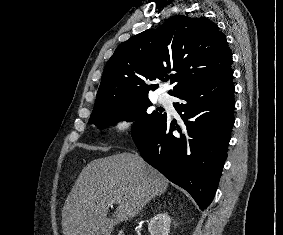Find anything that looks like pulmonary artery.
<instances>
[{
	"label": "pulmonary artery",
	"mask_w": 283,
	"mask_h": 235,
	"mask_svg": "<svg viewBox=\"0 0 283 235\" xmlns=\"http://www.w3.org/2000/svg\"><path fill=\"white\" fill-rule=\"evenodd\" d=\"M161 101L168 104L171 102V97L168 94L164 93L161 95Z\"/></svg>",
	"instance_id": "pulmonary-artery-1"
}]
</instances>
